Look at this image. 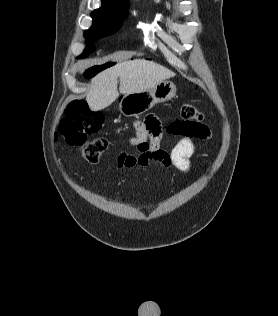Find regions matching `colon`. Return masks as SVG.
Here are the masks:
<instances>
[{
	"mask_svg": "<svg viewBox=\"0 0 278 316\" xmlns=\"http://www.w3.org/2000/svg\"><path fill=\"white\" fill-rule=\"evenodd\" d=\"M180 120L171 125L170 131L185 136H198L205 127L207 115L194 105L185 103L181 105ZM104 121L101 112L89 109L84 100L72 101L66 110L64 118L59 125V134L72 146H82L84 158L96 162L108 147V140L103 137L86 143L87 136L100 130Z\"/></svg>",
	"mask_w": 278,
	"mask_h": 316,
	"instance_id": "obj_1",
	"label": "colon"
}]
</instances>
